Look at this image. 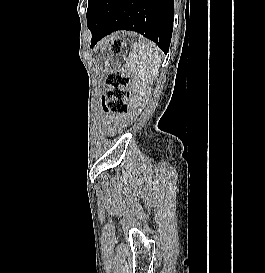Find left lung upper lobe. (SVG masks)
Wrapping results in <instances>:
<instances>
[{"mask_svg":"<svg viewBox=\"0 0 265 273\" xmlns=\"http://www.w3.org/2000/svg\"><path fill=\"white\" fill-rule=\"evenodd\" d=\"M89 6V5H88ZM91 15V11L89 10V7L87 9V19L89 18V16ZM103 20V16L102 15H99L98 17V22H101ZM88 21V20H87Z\"/></svg>","mask_w":265,"mask_h":273,"instance_id":"1","label":"left lung upper lobe"}]
</instances>
